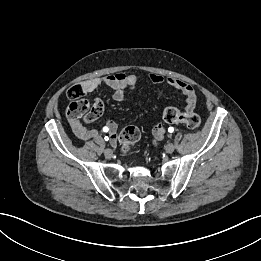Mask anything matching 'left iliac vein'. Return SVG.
Wrapping results in <instances>:
<instances>
[{"mask_svg":"<svg viewBox=\"0 0 261 261\" xmlns=\"http://www.w3.org/2000/svg\"><path fill=\"white\" fill-rule=\"evenodd\" d=\"M175 149V146L173 143H168L166 146H165V150L167 153H172Z\"/></svg>","mask_w":261,"mask_h":261,"instance_id":"obj_1","label":"left iliac vein"}]
</instances>
